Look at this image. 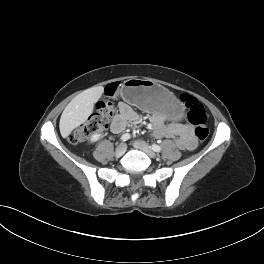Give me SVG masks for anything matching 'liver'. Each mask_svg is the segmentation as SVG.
<instances>
[{
	"instance_id": "obj_1",
	"label": "liver",
	"mask_w": 264,
	"mask_h": 264,
	"mask_svg": "<svg viewBox=\"0 0 264 264\" xmlns=\"http://www.w3.org/2000/svg\"><path fill=\"white\" fill-rule=\"evenodd\" d=\"M103 92V86H95L84 90L71 100L60 118L59 128L63 138L87 120L93 112L94 103L100 99Z\"/></svg>"
}]
</instances>
